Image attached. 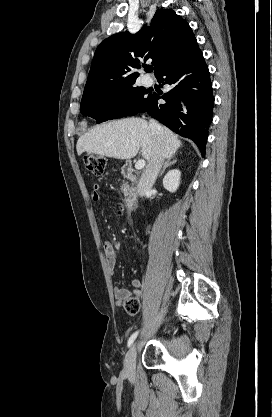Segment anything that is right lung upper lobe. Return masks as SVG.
I'll return each mask as SVG.
<instances>
[{
  "label": "right lung upper lobe",
  "mask_w": 272,
  "mask_h": 417,
  "mask_svg": "<svg viewBox=\"0 0 272 417\" xmlns=\"http://www.w3.org/2000/svg\"><path fill=\"white\" fill-rule=\"evenodd\" d=\"M143 29L135 35L128 32L114 34L100 43L84 94L134 86L139 74L133 70L147 60L152 61L157 76L196 42L189 24L170 9L158 10L151 28Z\"/></svg>",
  "instance_id": "1"
}]
</instances>
